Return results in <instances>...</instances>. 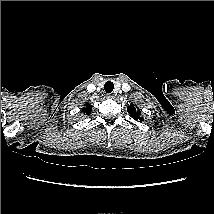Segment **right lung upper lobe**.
Wrapping results in <instances>:
<instances>
[{
	"label": "right lung upper lobe",
	"mask_w": 214,
	"mask_h": 214,
	"mask_svg": "<svg viewBox=\"0 0 214 214\" xmlns=\"http://www.w3.org/2000/svg\"><path fill=\"white\" fill-rule=\"evenodd\" d=\"M91 105L89 104V103H87L86 105H85V107L83 108V112H84V114H86V115H88V114H90V111H91Z\"/></svg>",
	"instance_id": "cb5924a9"
}]
</instances>
